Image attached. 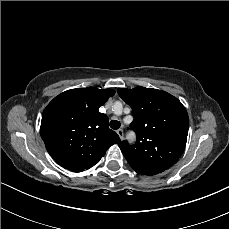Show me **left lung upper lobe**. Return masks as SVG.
<instances>
[{"label":"left lung upper lobe","mask_w":229,"mask_h":229,"mask_svg":"<svg viewBox=\"0 0 229 229\" xmlns=\"http://www.w3.org/2000/svg\"><path fill=\"white\" fill-rule=\"evenodd\" d=\"M117 91L134 117L130 127L136 132V143H119L130 166L143 175H155L173 166L187 141L189 117L185 107L162 90L139 86Z\"/></svg>","instance_id":"obj_1"}]
</instances>
